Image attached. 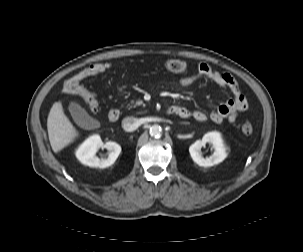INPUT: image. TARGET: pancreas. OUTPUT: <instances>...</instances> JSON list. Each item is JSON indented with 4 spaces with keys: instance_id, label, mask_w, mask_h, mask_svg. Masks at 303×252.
<instances>
[{
    "instance_id": "obj_1",
    "label": "pancreas",
    "mask_w": 303,
    "mask_h": 252,
    "mask_svg": "<svg viewBox=\"0 0 303 252\" xmlns=\"http://www.w3.org/2000/svg\"><path fill=\"white\" fill-rule=\"evenodd\" d=\"M141 104H142L141 100H136V101H131L130 104H128V106H129V108H132V107L139 106Z\"/></svg>"
}]
</instances>
